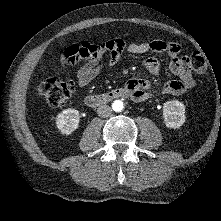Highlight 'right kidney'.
I'll list each match as a JSON object with an SVG mask.
<instances>
[{
	"instance_id": "1",
	"label": "right kidney",
	"mask_w": 221,
	"mask_h": 221,
	"mask_svg": "<svg viewBox=\"0 0 221 221\" xmlns=\"http://www.w3.org/2000/svg\"><path fill=\"white\" fill-rule=\"evenodd\" d=\"M79 111L66 109L57 115L56 126L62 134L69 135L78 128Z\"/></svg>"
}]
</instances>
